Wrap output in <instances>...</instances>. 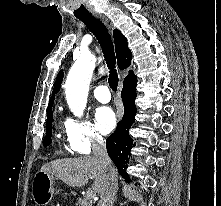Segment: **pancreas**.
<instances>
[{
  "mask_svg": "<svg viewBox=\"0 0 221 206\" xmlns=\"http://www.w3.org/2000/svg\"><path fill=\"white\" fill-rule=\"evenodd\" d=\"M77 206H91L89 201L86 198H78Z\"/></svg>",
  "mask_w": 221,
  "mask_h": 206,
  "instance_id": "obj_1",
  "label": "pancreas"
}]
</instances>
